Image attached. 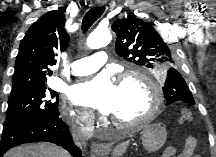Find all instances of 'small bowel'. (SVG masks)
I'll return each mask as SVG.
<instances>
[{
  "instance_id": "obj_1",
  "label": "small bowel",
  "mask_w": 216,
  "mask_h": 157,
  "mask_svg": "<svg viewBox=\"0 0 216 157\" xmlns=\"http://www.w3.org/2000/svg\"><path fill=\"white\" fill-rule=\"evenodd\" d=\"M197 141L194 137L189 136L185 139L184 148L179 153V157H191L196 149ZM176 153V150L174 147H169L164 152V157H172Z\"/></svg>"
}]
</instances>
